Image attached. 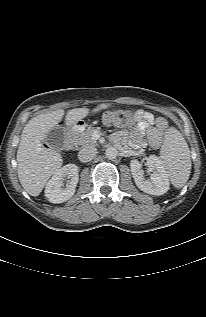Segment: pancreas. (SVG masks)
Wrapping results in <instances>:
<instances>
[{"label": "pancreas", "instance_id": "1", "mask_svg": "<svg viewBox=\"0 0 206 317\" xmlns=\"http://www.w3.org/2000/svg\"><path fill=\"white\" fill-rule=\"evenodd\" d=\"M97 129L95 128H88L85 132H73L72 141L76 145L82 146H96V140L93 139L92 135Z\"/></svg>", "mask_w": 206, "mask_h": 317}]
</instances>
